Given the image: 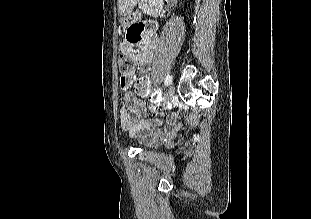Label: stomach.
I'll return each instance as SVG.
<instances>
[{"label": "stomach", "instance_id": "0dacf381", "mask_svg": "<svg viewBox=\"0 0 311 219\" xmlns=\"http://www.w3.org/2000/svg\"><path fill=\"white\" fill-rule=\"evenodd\" d=\"M138 0H132L131 1V9L123 15V24L125 26H128L129 24L133 23L134 21L137 20V18L139 17L138 13L133 12V7L135 6V4L137 3Z\"/></svg>", "mask_w": 311, "mask_h": 219}]
</instances>
